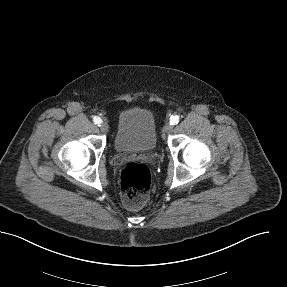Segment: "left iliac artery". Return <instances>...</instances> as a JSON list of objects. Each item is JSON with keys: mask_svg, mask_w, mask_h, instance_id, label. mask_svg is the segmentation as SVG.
<instances>
[{"mask_svg": "<svg viewBox=\"0 0 287 287\" xmlns=\"http://www.w3.org/2000/svg\"><path fill=\"white\" fill-rule=\"evenodd\" d=\"M179 120H180V118L178 115H174V116L172 115L170 118V124L176 125V124H178Z\"/></svg>", "mask_w": 287, "mask_h": 287, "instance_id": "left-iliac-artery-1", "label": "left iliac artery"}]
</instances>
